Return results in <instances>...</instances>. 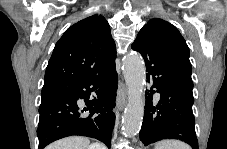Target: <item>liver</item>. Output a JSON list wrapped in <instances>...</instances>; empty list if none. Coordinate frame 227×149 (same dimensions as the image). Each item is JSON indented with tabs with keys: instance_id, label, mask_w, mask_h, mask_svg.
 Returning a JSON list of instances; mask_svg holds the SVG:
<instances>
[{
	"instance_id": "obj_1",
	"label": "liver",
	"mask_w": 227,
	"mask_h": 149,
	"mask_svg": "<svg viewBox=\"0 0 227 149\" xmlns=\"http://www.w3.org/2000/svg\"><path fill=\"white\" fill-rule=\"evenodd\" d=\"M89 144V139L85 137L72 136L58 140L47 146L46 149H88ZM101 147L105 149V146L101 145Z\"/></svg>"
}]
</instances>
